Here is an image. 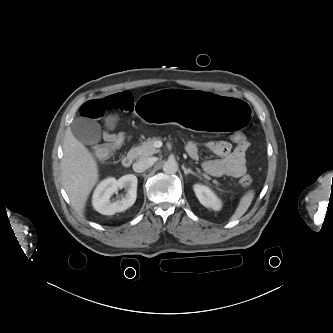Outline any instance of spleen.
I'll use <instances>...</instances> for the list:
<instances>
[{"mask_svg":"<svg viewBox=\"0 0 333 333\" xmlns=\"http://www.w3.org/2000/svg\"><path fill=\"white\" fill-rule=\"evenodd\" d=\"M254 195V190H249L241 197L238 207L236 208L235 213L232 215L231 220H237L246 213L254 199Z\"/></svg>","mask_w":333,"mask_h":333,"instance_id":"obj_1","label":"spleen"}]
</instances>
